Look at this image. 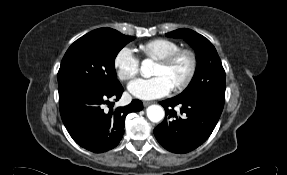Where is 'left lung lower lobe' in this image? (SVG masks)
Wrapping results in <instances>:
<instances>
[{
  "mask_svg": "<svg viewBox=\"0 0 287 175\" xmlns=\"http://www.w3.org/2000/svg\"><path fill=\"white\" fill-rule=\"evenodd\" d=\"M166 118L154 129L157 141L173 153H187L204 143L214 130L224 103L204 96H176L161 101ZM181 107L176 113L174 107Z\"/></svg>",
  "mask_w": 287,
  "mask_h": 175,
  "instance_id": "1",
  "label": "left lung lower lobe"
}]
</instances>
